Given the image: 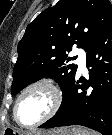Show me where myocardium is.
Wrapping results in <instances>:
<instances>
[{
	"label": "myocardium",
	"instance_id": "obj_1",
	"mask_svg": "<svg viewBox=\"0 0 112 135\" xmlns=\"http://www.w3.org/2000/svg\"><path fill=\"white\" fill-rule=\"evenodd\" d=\"M37 87H44L47 88L48 90L51 91L52 95H53V105L50 109V111L40 120L32 123V124H25L23 123L18 116V106H19V102L21 100V98L24 96L25 93H27L29 90L37 88ZM63 101V95L62 92L59 90V88L57 86H55L53 83L46 81V80H39V81H35L31 84H29L28 86H26L18 95V97L16 98L14 107H13V117L14 120L16 121L17 124H19L21 127L24 128H34L37 127L43 123H45L46 121H48L49 119H51L59 110L61 104Z\"/></svg>",
	"mask_w": 112,
	"mask_h": 135
}]
</instances>
